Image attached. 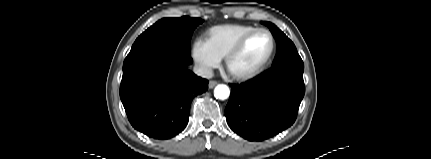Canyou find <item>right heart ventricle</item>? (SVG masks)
Wrapping results in <instances>:
<instances>
[{
	"instance_id": "e07e8e85",
	"label": "right heart ventricle",
	"mask_w": 431,
	"mask_h": 159,
	"mask_svg": "<svg viewBox=\"0 0 431 159\" xmlns=\"http://www.w3.org/2000/svg\"><path fill=\"white\" fill-rule=\"evenodd\" d=\"M255 29L257 28L246 24L217 25L206 31L205 41L222 59L245 34Z\"/></svg>"
}]
</instances>
